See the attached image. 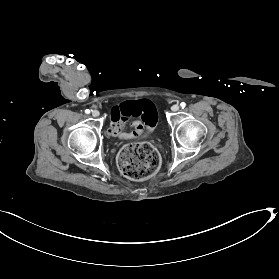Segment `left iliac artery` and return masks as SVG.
<instances>
[{"mask_svg": "<svg viewBox=\"0 0 279 279\" xmlns=\"http://www.w3.org/2000/svg\"><path fill=\"white\" fill-rule=\"evenodd\" d=\"M180 106H181L182 108H184V107L186 106V104H185L184 102H182V103L180 104Z\"/></svg>", "mask_w": 279, "mask_h": 279, "instance_id": "obj_1", "label": "left iliac artery"}]
</instances>
